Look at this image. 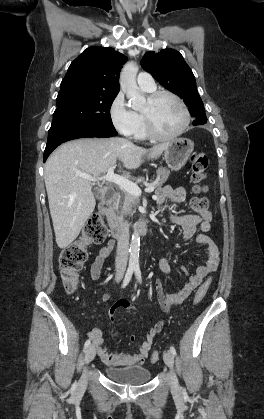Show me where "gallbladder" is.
I'll return each instance as SVG.
<instances>
[{
  "label": "gallbladder",
  "mask_w": 264,
  "mask_h": 419,
  "mask_svg": "<svg viewBox=\"0 0 264 419\" xmlns=\"http://www.w3.org/2000/svg\"><path fill=\"white\" fill-rule=\"evenodd\" d=\"M99 195H100V192H96V196L99 197Z\"/></svg>",
  "instance_id": "obj_1"
}]
</instances>
